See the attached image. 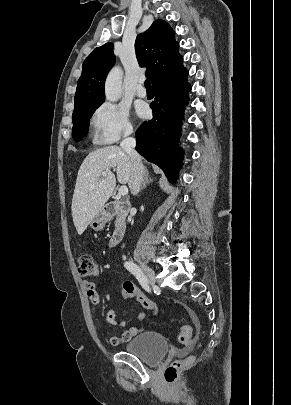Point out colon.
I'll return each instance as SVG.
<instances>
[{
  "label": "colon",
  "instance_id": "5ec220e1",
  "mask_svg": "<svg viewBox=\"0 0 291 405\" xmlns=\"http://www.w3.org/2000/svg\"><path fill=\"white\" fill-rule=\"evenodd\" d=\"M78 273L82 277H98L100 275V266L91 254L82 253L78 257ZM122 295L124 298H136L144 308L150 310L154 315H157L159 312L158 305L143 295L131 282L124 283ZM179 341L185 345L193 342V331L190 326L184 325L180 328ZM192 361L193 358L188 357L171 363L164 371L165 381L169 384L174 383L177 380L180 369L190 365Z\"/></svg>",
  "mask_w": 291,
  "mask_h": 405
}]
</instances>
